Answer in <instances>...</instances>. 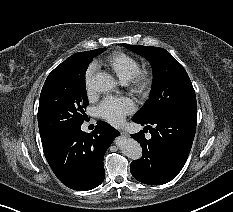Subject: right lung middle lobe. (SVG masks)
I'll return each instance as SVG.
<instances>
[{
	"mask_svg": "<svg viewBox=\"0 0 233 212\" xmlns=\"http://www.w3.org/2000/svg\"><path fill=\"white\" fill-rule=\"evenodd\" d=\"M106 48L90 51L84 60L53 70L41 91L38 108V125L43 145L71 129L81 126L86 119L88 106L85 73L89 63Z\"/></svg>",
	"mask_w": 233,
	"mask_h": 212,
	"instance_id": "right-lung-middle-lobe-1",
	"label": "right lung middle lobe"
}]
</instances>
